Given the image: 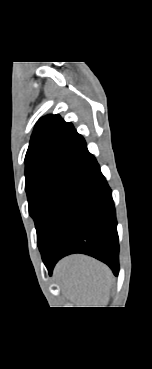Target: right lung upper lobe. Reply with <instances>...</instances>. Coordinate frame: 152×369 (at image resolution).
Returning a JSON list of instances; mask_svg holds the SVG:
<instances>
[{
  "mask_svg": "<svg viewBox=\"0 0 152 369\" xmlns=\"http://www.w3.org/2000/svg\"><path fill=\"white\" fill-rule=\"evenodd\" d=\"M91 154L71 123L56 115L41 118L32 133L25 157V174L40 167L82 164Z\"/></svg>",
  "mask_w": 152,
  "mask_h": 369,
  "instance_id": "right-lung-upper-lobe-1",
  "label": "right lung upper lobe"
}]
</instances>
